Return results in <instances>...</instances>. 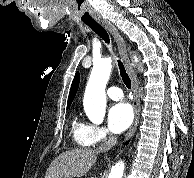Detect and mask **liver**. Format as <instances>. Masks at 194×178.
Returning a JSON list of instances; mask_svg holds the SVG:
<instances>
[{
    "mask_svg": "<svg viewBox=\"0 0 194 178\" xmlns=\"http://www.w3.org/2000/svg\"><path fill=\"white\" fill-rule=\"evenodd\" d=\"M98 152L73 149L57 156L50 164L45 178H73L85 175L96 162Z\"/></svg>",
    "mask_w": 194,
    "mask_h": 178,
    "instance_id": "6515ba94",
    "label": "liver"
}]
</instances>
